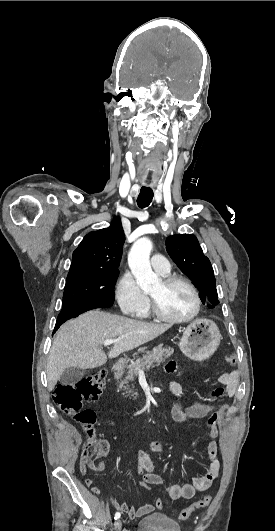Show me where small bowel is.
<instances>
[{
	"instance_id": "small-bowel-1",
	"label": "small bowel",
	"mask_w": 275,
	"mask_h": 531,
	"mask_svg": "<svg viewBox=\"0 0 275 531\" xmlns=\"http://www.w3.org/2000/svg\"><path fill=\"white\" fill-rule=\"evenodd\" d=\"M167 369L169 372H175L177 369V362L172 360L168 363ZM218 382L224 386L225 396L232 398L235 396L239 385V372L230 371L223 372L218 376ZM170 391L175 398L171 406V415L177 422L184 423L193 419H200L209 416L207 420V434L210 440L206 446L207 453V470L206 473L194 478L191 483L183 485H169L167 486V493L172 500L191 499L198 491L207 490L213 482L217 479L220 472L219 447L217 437L219 435L218 420L222 417L225 411V405H216L211 403H196L183 409L181 400L185 396V389L180 381H173L170 384ZM150 449L154 453H160L163 450L162 443L155 440L151 443ZM82 458V457H81ZM137 473L141 478H150L151 483L161 485L163 483L162 477L155 472L154 462L151 456L146 451H139L136 456ZM103 469V467H102ZM102 469H93L99 471ZM94 494L100 493L99 487L89 488ZM111 507L120 512H126L129 518L136 519L153 512L152 504H143L140 507H128V505L119 500H112Z\"/></svg>"
}]
</instances>
